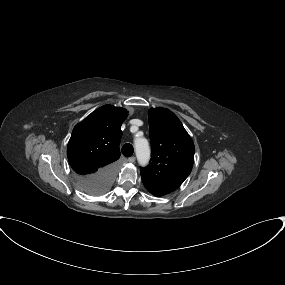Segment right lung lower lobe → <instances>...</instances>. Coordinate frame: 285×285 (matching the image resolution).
I'll return each mask as SVG.
<instances>
[{
	"mask_svg": "<svg viewBox=\"0 0 285 285\" xmlns=\"http://www.w3.org/2000/svg\"><path fill=\"white\" fill-rule=\"evenodd\" d=\"M116 167V163H113L94 174L85 176L78 175L77 181L79 187L90 195H101L105 193L113 183Z\"/></svg>",
	"mask_w": 285,
	"mask_h": 285,
	"instance_id": "obj_1",
	"label": "right lung lower lobe"
}]
</instances>
